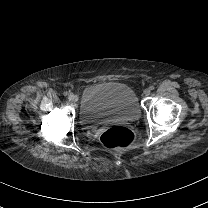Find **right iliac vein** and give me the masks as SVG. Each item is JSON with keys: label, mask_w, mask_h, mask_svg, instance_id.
<instances>
[{"label": "right iliac vein", "mask_w": 208, "mask_h": 208, "mask_svg": "<svg viewBox=\"0 0 208 208\" xmlns=\"http://www.w3.org/2000/svg\"><path fill=\"white\" fill-rule=\"evenodd\" d=\"M69 101L73 102L75 100V96L73 94H70L68 96Z\"/></svg>", "instance_id": "obj_1"}]
</instances>
